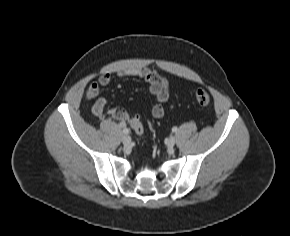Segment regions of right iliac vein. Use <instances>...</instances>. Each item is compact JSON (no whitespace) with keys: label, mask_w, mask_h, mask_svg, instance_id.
Listing matches in <instances>:
<instances>
[{"label":"right iliac vein","mask_w":290,"mask_h":236,"mask_svg":"<svg viewBox=\"0 0 290 236\" xmlns=\"http://www.w3.org/2000/svg\"><path fill=\"white\" fill-rule=\"evenodd\" d=\"M122 142L124 145H130L131 143V137L127 134L122 136Z\"/></svg>","instance_id":"obj_1"}]
</instances>
